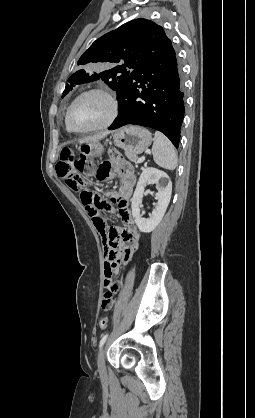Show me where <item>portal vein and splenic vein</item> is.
I'll list each match as a JSON object with an SVG mask.
<instances>
[{
	"mask_svg": "<svg viewBox=\"0 0 255 418\" xmlns=\"http://www.w3.org/2000/svg\"><path fill=\"white\" fill-rule=\"evenodd\" d=\"M144 160H145V157H140V158L136 161V163H142Z\"/></svg>",
	"mask_w": 255,
	"mask_h": 418,
	"instance_id": "18ae733b",
	"label": "portal vein and splenic vein"
}]
</instances>
